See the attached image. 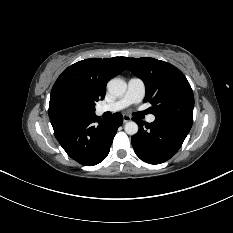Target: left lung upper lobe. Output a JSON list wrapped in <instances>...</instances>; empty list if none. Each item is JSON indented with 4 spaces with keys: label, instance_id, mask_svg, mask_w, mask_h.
<instances>
[{
    "label": "left lung upper lobe",
    "instance_id": "left-lung-upper-lobe-1",
    "mask_svg": "<svg viewBox=\"0 0 233 233\" xmlns=\"http://www.w3.org/2000/svg\"><path fill=\"white\" fill-rule=\"evenodd\" d=\"M128 69L146 86L144 102H150L156 118L192 126L194 96L184 74L170 63L154 58L122 57Z\"/></svg>",
    "mask_w": 233,
    "mask_h": 233
}]
</instances>
